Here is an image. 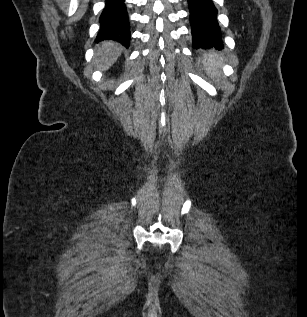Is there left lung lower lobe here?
Here are the masks:
<instances>
[{"instance_id":"0a47b994","label":"left lung lower lobe","mask_w":307,"mask_h":317,"mask_svg":"<svg viewBox=\"0 0 307 317\" xmlns=\"http://www.w3.org/2000/svg\"><path fill=\"white\" fill-rule=\"evenodd\" d=\"M194 49L223 48L217 9L212 0H188Z\"/></svg>"}]
</instances>
